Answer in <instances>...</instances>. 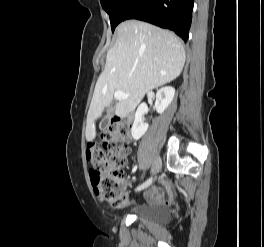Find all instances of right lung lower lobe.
<instances>
[{"label":"right lung lower lobe","instance_id":"98d812e1","mask_svg":"<svg viewBox=\"0 0 264 247\" xmlns=\"http://www.w3.org/2000/svg\"><path fill=\"white\" fill-rule=\"evenodd\" d=\"M194 0H134L123 20L137 19L170 29L185 42L189 36Z\"/></svg>","mask_w":264,"mask_h":247}]
</instances>
